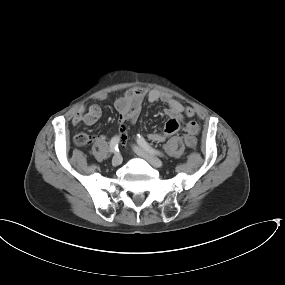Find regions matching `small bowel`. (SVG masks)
<instances>
[{
    "instance_id": "c3829d8e",
    "label": "small bowel",
    "mask_w": 285,
    "mask_h": 285,
    "mask_svg": "<svg viewBox=\"0 0 285 285\" xmlns=\"http://www.w3.org/2000/svg\"><path fill=\"white\" fill-rule=\"evenodd\" d=\"M106 95L101 96L105 98ZM150 103L163 102L166 105L165 114L168 121L165 125L164 132H152L149 139L154 142H163L168 136L174 135L181 131L184 134V140L188 147H194L196 144L195 135L198 130V124L195 121L182 123L185 108L182 103L172 96L163 93L157 89L147 91L144 88H130L125 91L123 96L119 97L114 106L119 114V137L123 138L126 133V123L135 122L140 115L141 106L144 99ZM102 116V108L93 104L89 107H79L71 116L74 124L84 123L87 125L95 124ZM89 136V135H88ZM90 141L94 140L93 136H89Z\"/></svg>"
}]
</instances>
